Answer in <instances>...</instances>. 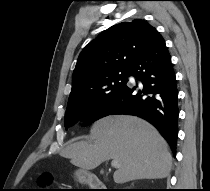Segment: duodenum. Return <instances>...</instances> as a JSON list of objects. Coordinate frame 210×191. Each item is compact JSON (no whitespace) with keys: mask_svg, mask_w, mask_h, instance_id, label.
<instances>
[{"mask_svg":"<svg viewBox=\"0 0 210 191\" xmlns=\"http://www.w3.org/2000/svg\"><path fill=\"white\" fill-rule=\"evenodd\" d=\"M78 177L81 181L86 182L93 191H114L107 188L106 185L98 178L88 174L86 171H79Z\"/></svg>","mask_w":210,"mask_h":191,"instance_id":"1","label":"duodenum"}]
</instances>
